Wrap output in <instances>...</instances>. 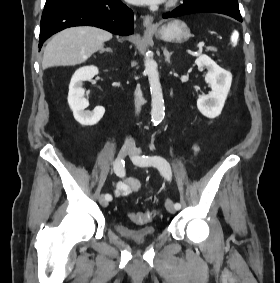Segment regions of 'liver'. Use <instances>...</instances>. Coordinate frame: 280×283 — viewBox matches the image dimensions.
<instances>
[{"mask_svg":"<svg viewBox=\"0 0 280 283\" xmlns=\"http://www.w3.org/2000/svg\"><path fill=\"white\" fill-rule=\"evenodd\" d=\"M112 34L96 27H72L56 34L44 49L42 67L70 66L85 62L103 49Z\"/></svg>","mask_w":280,"mask_h":283,"instance_id":"liver-1","label":"liver"}]
</instances>
